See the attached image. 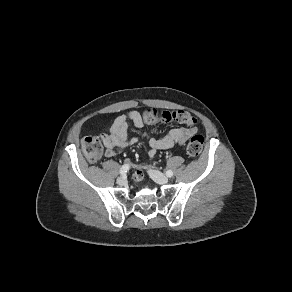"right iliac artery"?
I'll use <instances>...</instances> for the list:
<instances>
[{"label": "right iliac artery", "mask_w": 292, "mask_h": 292, "mask_svg": "<svg viewBox=\"0 0 292 292\" xmlns=\"http://www.w3.org/2000/svg\"><path fill=\"white\" fill-rule=\"evenodd\" d=\"M129 168H130L129 164H124L120 169V174L125 175L128 172Z\"/></svg>", "instance_id": "obj_1"}]
</instances>
